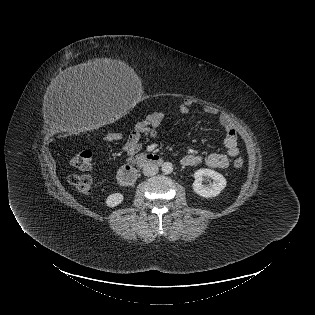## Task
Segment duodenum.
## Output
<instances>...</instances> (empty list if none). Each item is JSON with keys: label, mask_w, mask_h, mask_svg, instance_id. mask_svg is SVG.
Masks as SVG:
<instances>
[{"label": "duodenum", "mask_w": 315, "mask_h": 315, "mask_svg": "<svg viewBox=\"0 0 315 315\" xmlns=\"http://www.w3.org/2000/svg\"><path fill=\"white\" fill-rule=\"evenodd\" d=\"M162 163L163 159L158 154H143L137 158L134 164H126L119 169L117 173V181L121 186H130L137 178V167L148 164L161 165Z\"/></svg>", "instance_id": "duodenum-1"}]
</instances>
